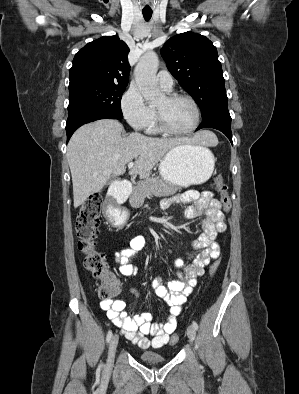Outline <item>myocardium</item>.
Masks as SVG:
<instances>
[{"label": "myocardium", "instance_id": "f54148a6", "mask_svg": "<svg viewBox=\"0 0 299 394\" xmlns=\"http://www.w3.org/2000/svg\"><path fill=\"white\" fill-rule=\"evenodd\" d=\"M165 97L168 101L184 99V100H187L188 102H190L194 108V111H195V122H194L193 126L187 130H175L172 127H170V125L167 123L162 112L158 109H155L157 123H158L161 131H163L167 134H171V135H187V134L194 132L197 129V127L199 126L200 119H201V112H200V108H199L197 102L191 96L186 95V94H180V93H169Z\"/></svg>", "mask_w": 299, "mask_h": 394}]
</instances>
